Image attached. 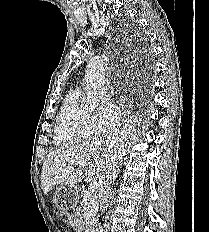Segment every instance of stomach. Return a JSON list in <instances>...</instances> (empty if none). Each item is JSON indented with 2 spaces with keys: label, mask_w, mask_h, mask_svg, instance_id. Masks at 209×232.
Instances as JSON below:
<instances>
[{
  "label": "stomach",
  "mask_w": 209,
  "mask_h": 232,
  "mask_svg": "<svg viewBox=\"0 0 209 232\" xmlns=\"http://www.w3.org/2000/svg\"><path fill=\"white\" fill-rule=\"evenodd\" d=\"M82 186H61L58 188L53 198V203H57V211H64L69 214L73 207L80 203Z\"/></svg>",
  "instance_id": "1"
}]
</instances>
